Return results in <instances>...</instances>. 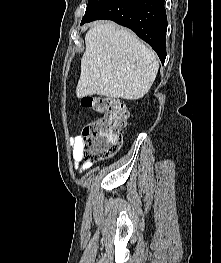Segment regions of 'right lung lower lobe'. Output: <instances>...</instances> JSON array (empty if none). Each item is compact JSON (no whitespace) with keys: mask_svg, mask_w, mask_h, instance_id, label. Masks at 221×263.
Returning <instances> with one entry per match:
<instances>
[{"mask_svg":"<svg viewBox=\"0 0 221 263\" xmlns=\"http://www.w3.org/2000/svg\"><path fill=\"white\" fill-rule=\"evenodd\" d=\"M165 0H109L86 22L109 19L133 30L158 54L162 64L166 58L167 16Z\"/></svg>","mask_w":221,"mask_h":263,"instance_id":"obj_1","label":"right lung lower lobe"}]
</instances>
